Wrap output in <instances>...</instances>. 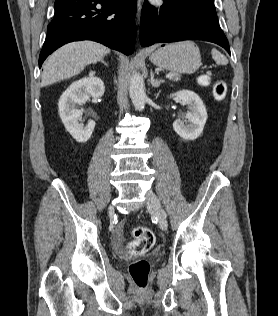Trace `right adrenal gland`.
<instances>
[{
  "mask_svg": "<svg viewBox=\"0 0 278 316\" xmlns=\"http://www.w3.org/2000/svg\"><path fill=\"white\" fill-rule=\"evenodd\" d=\"M101 63H103L105 66H108V64L104 60H101Z\"/></svg>",
  "mask_w": 278,
  "mask_h": 316,
  "instance_id": "right-adrenal-gland-1",
  "label": "right adrenal gland"
}]
</instances>
